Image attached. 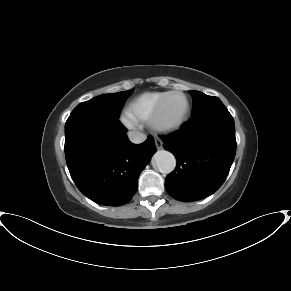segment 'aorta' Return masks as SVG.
I'll list each match as a JSON object with an SVG mask.
<instances>
[{
	"label": "aorta",
	"mask_w": 291,
	"mask_h": 291,
	"mask_svg": "<svg viewBox=\"0 0 291 291\" xmlns=\"http://www.w3.org/2000/svg\"><path fill=\"white\" fill-rule=\"evenodd\" d=\"M153 158L158 170L161 173L169 174L176 167V159L174 155L169 151H166V150L157 151L154 154Z\"/></svg>",
	"instance_id": "aorta-1"
}]
</instances>
